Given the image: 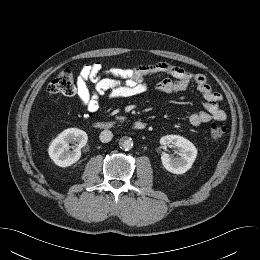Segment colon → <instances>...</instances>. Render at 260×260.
<instances>
[{"mask_svg": "<svg viewBox=\"0 0 260 260\" xmlns=\"http://www.w3.org/2000/svg\"><path fill=\"white\" fill-rule=\"evenodd\" d=\"M49 93L53 95L71 96L76 92L75 77L72 71L62 70L48 85ZM210 136L221 139L226 133V126L222 123H212L209 129Z\"/></svg>", "mask_w": 260, "mask_h": 260, "instance_id": "5ec220e1", "label": "colon"}]
</instances>
